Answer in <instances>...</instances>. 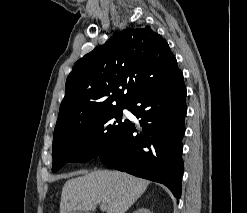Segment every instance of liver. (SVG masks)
<instances>
[{
    "mask_svg": "<svg viewBox=\"0 0 247 213\" xmlns=\"http://www.w3.org/2000/svg\"><path fill=\"white\" fill-rule=\"evenodd\" d=\"M63 186L60 213L95 211L98 203L106 213H125L145 192L149 181L125 172L97 170L82 172Z\"/></svg>",
    "mask_w": 247,
    "mask_h": 213,
    "instance_id": "liver-1",
    "label": "liver"
}]
</instances>
